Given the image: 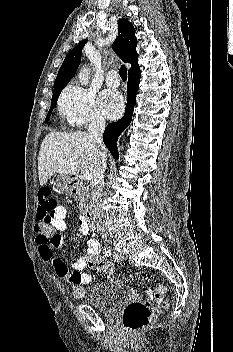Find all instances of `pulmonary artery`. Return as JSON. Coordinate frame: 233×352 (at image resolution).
Wrapping results in <instances>:
<instances>
[{
    "instance_id": "e3ab8cb5",
    "label": "pulmonary artery",
    "mask_w": 233,
    "mask_h": 352,
    "mask_svg": "<svg viewBox=\"0 0 233 352\" xmlns=\"http://www.w3.org/2000/svg\"><path fill=\"white\" fill-rule=\"evenodd\" d=\"M106 83L110 87H118L120 84V79L118 77V74L115 70H111L108 72L106 76Z\"/></svg>"
}]
</instances>
